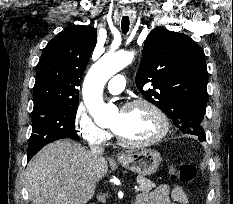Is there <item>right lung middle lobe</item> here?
Instances as JSON below:
<instances>
[{
	"label": "right lung middle lobe",
	"mask_w": 233,
	"mask_h": 204,
	"mask_svg": "<svg viewBox=\"0 0 233 204\" xmlns=\"http://www.w3.org/2000/svg\"><path fill=\"white\" fill-rule=\"evenodd\" d=\"M78 102L47 105L32 112V134L28 149L39 150L46 144L62 139L79 140L74 125Z\"/></svg>",
	"instance_id": "obj_1"
}]
</instances>
